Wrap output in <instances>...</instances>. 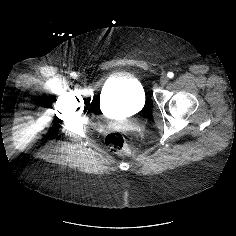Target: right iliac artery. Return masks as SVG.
<instances>
[{"label":"right iliac artery","instance_id":"1","mask_svg":"<svg viewBox=\"0 0 236 236\" xmlns=\"http://www.w3.org/2000/svg\"><path fill=\"white\" fill-rule=\"evenodd\" d=\"M70 76H71L72 78H76V77H77V74H76V72H71V73H70Z\"/></svg>","mask_w":236,"mask_h":236}]
</instances>
